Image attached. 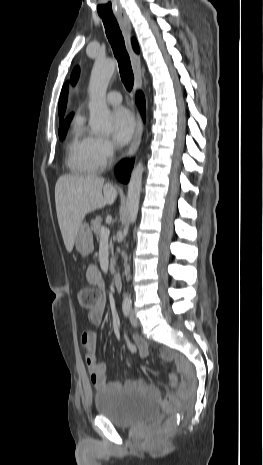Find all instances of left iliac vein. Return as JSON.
Listing matches in <instances>:
<instances>
[{"label": "left iliac vein", "mask_w": 263, "mask_h": 465, "mask_svg": "<svg viewBox=\"0 0 263 465\" xmlns=\"http://www.w3.org/2000/svg\"><path fill=\"white\" fill-rule=\"evenodd\" d=\"M130 322L133 327H137L139 325V321L135 315V312L132 310L130 313Z\"/></svg>", "instance_id": "obj_1"}]
</instances>
